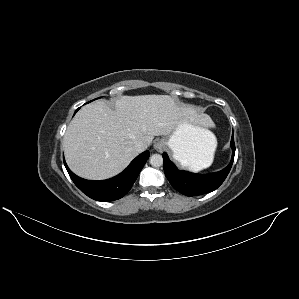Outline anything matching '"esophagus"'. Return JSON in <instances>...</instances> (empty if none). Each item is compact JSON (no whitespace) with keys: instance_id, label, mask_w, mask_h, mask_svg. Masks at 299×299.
<instances>
[{"instance_id":"34e87169","label":"esophagus","mask_w":299,"mask_h":299,"mask_svg":"<svg viewBox=\"0 0 299 299\" xmlns=\"http://www.w3.org/2000/svg\"><path fill=\"white\" fill-rule=\"evenodd\" d=\"M164 147H165V144H164L163 141H157V142L154 144V148H155L157 151H159V152H161V151L164 149Z\"/></svg>"}]
</instances>
